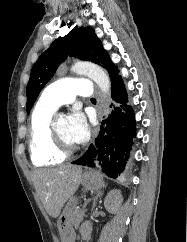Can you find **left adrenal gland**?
I'll return each instance as SVG.
<instances>
[{"mask_svg": "<svg viewBox=\"0 0 187 242\" xmlns=\"http://www.w3.org/2000/svg\"><path fill=\"white\" fill-rule=\"evenodd\" d=\"M104 191H98L93 199V208L96 207L97 199L103 195Z\"/></svg>", "mask_w": 187, "mask_h": 242, "instance_id": "obj_1", "label": "left adrenal gland"}]
</instances>
